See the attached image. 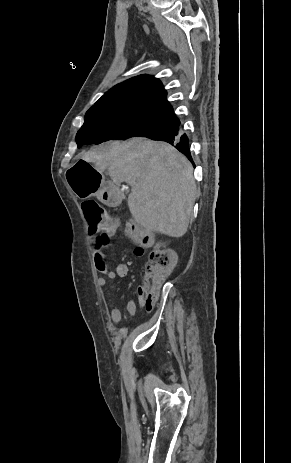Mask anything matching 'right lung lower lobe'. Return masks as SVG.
I'll return each instance as SVG.
<instances>
[{
	"mask_svg": "<svg viewBox=\"0 0 291 463\" xmlns=\"http://www.w3.org/2000/svg\"><path fill=\"white\" fill-rule=\"evenodd\" d=\"M166 121L169 123L167 128L146 137L152 140L165 141L171 144L177 150L183 153L194 165L189 150V139L186 134H182V130L179 127V120L177 118H173Z\"/></svg>",
	"mask_w": 291,
	"mask_h": 463,
	"instance_id": "obj_1",
	"label": "right lung lower lobe"
}]
</instances>
